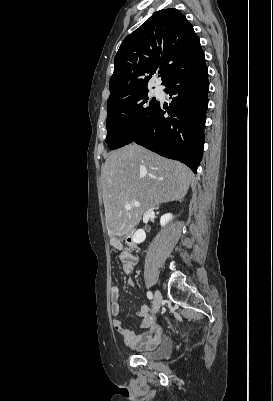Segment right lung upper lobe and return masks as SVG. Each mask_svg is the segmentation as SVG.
I'll list each match as a JSON object with an SVG mask.
<instances>
[{
	"instance_id": "1",
	"label": "right lung upper lobe",
	"mask_w": 273,
	"mask_h": 401,
	"mask_svg": "<svg viewBox=\"0 0 273 401\" xmlns=\"http://www.w3.org/2000/svg\"><path fill=\"white\" fill-rule=\"evenodd\" d=\"M204 60L200 40L186 17L177 9L160 10L120 45L107 107L148 90V82L157 69L164 85L179 68Z\"/></svg>"
}]
</instances>
